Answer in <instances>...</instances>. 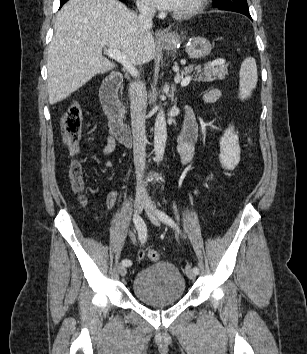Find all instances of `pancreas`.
<instances>
[{"label":"pancreas","mask_w":307,"mask_h":354,"mask_svg":"<svg viewBox=\"0 0 307 354\" xmlns=\"http://www.w3.org/2000/svg\"><path fill=\"white\" fill-rule=\"evenodd\" d=\"M195 71V81H213L214 79H224L228 74L226 64L214 65L213 62H209L203 67L201 65H189L181 69V76L191 74Z\"/></svg>","instance_id":"obj_1"}]
</instances>
